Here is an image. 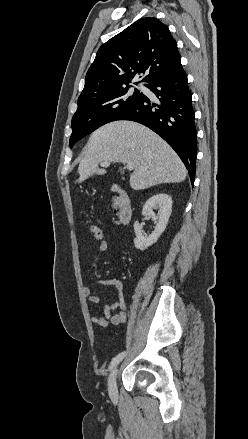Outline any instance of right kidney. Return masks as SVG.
<instances>
[{"label":"right kidney","mask_w":248,"mask_h":439,"mask_svg":"<svg viewBox=\"0 0 248 439\" xmlns=\"http://www.w3.org/2000/svg\"><path fill=\"white\" fill-rule=\"evenodd\" d=\"M153 209H158V214L153 212ZM172 210V198L165 193H159L149 198L142 210V215L152 218L157 221L155 230L148 237L143 235L142 225L138 221L134 223L135 239L134 245L137 249L145 250L155 242H157L160 235L165 231L168 224L169 217Z\"/></svg>","instance_id":"ca27d5eb"}]
</instances>
